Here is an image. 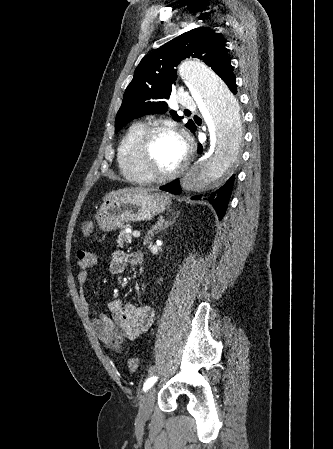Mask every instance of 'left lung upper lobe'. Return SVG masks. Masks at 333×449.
Here are the masks:
<instances>
[{
	"mask_svg": "<svg viewBox=\"0 0 333 449\" xmlns=\"http://www.w3.org/2000/svg\"><path fill=\"white\" fill-rule=\"evenodd\" d=\"M225 41L213 30L200 27L190 30L146 55L137 66L131 83L125 90L122 105L115 119V133L127 122L147 114L163 113L167 100L176 85V70L181 60L196 57L222 79L231 71ZM175 119H182L173 110ZM186 127L192 132L196 126L189 120Z\"/></svg>",
	"mask_w": 333,
	"mask_h": 449,
	"instance_id": "1",
	"label": "left lung upper lobe"
}]
</instances>
